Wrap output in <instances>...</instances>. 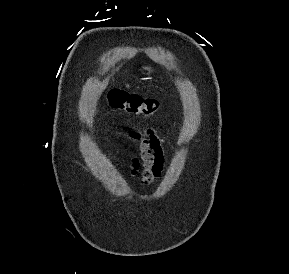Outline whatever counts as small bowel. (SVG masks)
I'll return each mask as SVG.
<instances>
[{
  "label": "small bowel",
  "instance_id": "obj_1",
  "mask_svg": "<svg viewBox=\"0 0 289 274\" xmlns=\"http://www.w3.org/2000/svg\"><path fill=\"white\" fill-rule=\"evenodd\" d=\"M127 136L138 145V154L130 155L131 175L135 176L141 168V183L143 185L156 183L165 166L162 140L151 128H147L143 132L129 130Z\"/></svg>",
  "mask_w": 289,
  "mask_h": 274
}]
</instances>
